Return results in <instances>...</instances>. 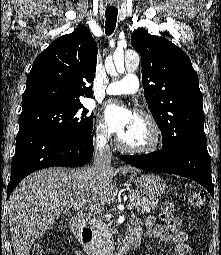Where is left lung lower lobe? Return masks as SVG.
Listing matches in <instances>:
<instances>
[{
    "label": "left lung lower lobe",
    "mask_w": 221,
    "mask_h": 255,
    "mask_svg": "<svg viewBox=\"0 0 221 255\" xmlns=\"http://www.w3.org/2000/svg\"><path fill=\"white\" fill-rule=\"evenodd\" d=\"M120 158L141 169L190 178L205 187L212 196L214 195L206 143H188L175 153L162 149L145 155H123Z\"/></svg>",
    "instance_id": "1"
}]
</instances>
